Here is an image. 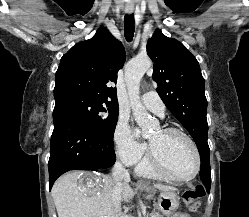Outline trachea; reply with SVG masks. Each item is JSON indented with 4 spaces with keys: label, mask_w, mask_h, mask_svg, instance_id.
<instances>
[{
    "label": "trachea",
    "mask_w": 249,
    "mask_h": 217,
    "mask_svg": "<svg viewBox=\"0 0 249 217\" xmlns=\"http://www.w3.org/2000/svg\"><path fill=\"white\" fill-rule=\"evenodd\" d=\"M135 20L134 15H125L124 17V33L125 38L128 42H131L134 36V29H135Z\"/></svg>",
    "instance_id": "3493384b"
}]
</instances>
